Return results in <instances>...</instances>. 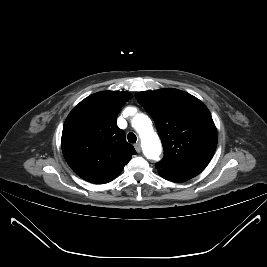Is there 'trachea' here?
Returning a JSON list of instances; mask_svg holds the SVG:
<instances>
[{
	"label": "trachea",
	"instance_id": "obj_1",
	"mask_svg": "<svg viewBox=\"0 0 267 267\" xmlns=\"http://www.w3.org/2000/svg\"><path fill=\"white\" fill-rule=\"evenodd\" d=\"M127 139H128V142L130 143H136L137 141L136 135L132 132L128 134Z\"/></svg>",
	"mask_w": 267,
	"mask_h": 267
}]
</instances>
